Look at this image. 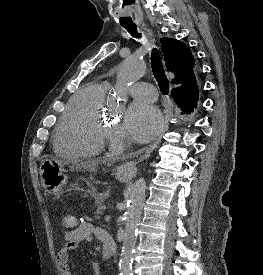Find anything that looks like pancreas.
<instances>
[{
    "mask_svg": "<svg viewBox=\"0 0 263 275\" xmlns=\"http://www.w3.org/2000/svg\"><path fill=\"white\" fill-rule=\"evenodd\" d=\"M93 196L95 198L97 210L95 211V218L100 219V216L103 214V210L105 208V205L103 204L106 196L101 193H93Z\"/></svg>",
    "mask_w": 263,
    "mask_h": 275,
    "instance_id": "1",
    "label": "pancreas"
}]
</instances>
